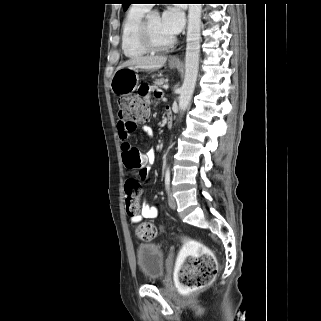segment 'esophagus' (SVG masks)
Here are the masks:
<instances>
[{"label":"esophagus","mask_w":321,"mask_h":321,"mask_svg":"<svg viewBox=\"0 0 321 321\" xmlns=\"http://www.w3.org/2000/svg\"><path fill=\"white\" fill-rule=\"evenodd\" d=\"M179 60H180L179 55H175V56H173V57L171 58V61H172V62H178Z\"/></svg>","instance_id":"obj_1"}]
</instances>
